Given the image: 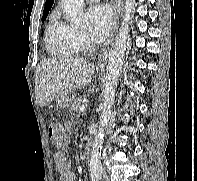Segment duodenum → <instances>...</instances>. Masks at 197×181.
<instances>
[{"label": "duodenum", "instance_id": "1", "mask_svg": "<svg viewBox=\"0 0 197 181\" xmlns=\"http://www.w3.org/2000/svg\"><path fill=\"white\" fill-rule=\"evenodd\" d=\"M86 155L88 158L91 156V146L89 143L86 144Z\"/></svg>", "mask_w": 197, "mask_h": 181}]
</instances>
